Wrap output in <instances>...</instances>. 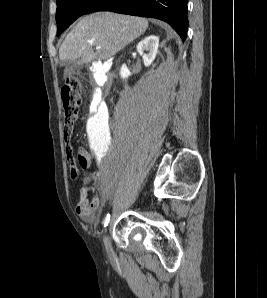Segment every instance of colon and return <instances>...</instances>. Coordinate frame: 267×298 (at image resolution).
Masks as SVG:
<instances>
[{
	"mask_svg": "<svg viewBox=\"0 0 267 298\" xmlns=\"http://www.w3.org/2000/svg\"><path fill=\"white\" fill-rule=\"evenodd\" d=\"M61 96L65 112L64 137L67 141V163L69 165L71 178L76 179L79 176V166L83 169L88 167L86 155L83 152H78L75 155L72 146L69 144L70 132L76 121L81 104V84L79 80L75 77L68 78L62 87Z\"/></svg>",
	"mask_w": 267,
	"mask_h": 298,
	"instance_id": "1",
	"label": "colon"
}]
</instances>
